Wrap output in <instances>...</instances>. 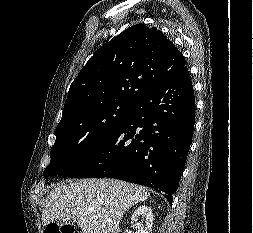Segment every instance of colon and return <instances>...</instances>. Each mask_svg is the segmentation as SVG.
<instances>
[{
  "instance_id": "colon-1",
  "label": "colon",
  "mask_w": 253,
  "mask_h": 233,
  "mask_svg": "<svg viewBox=\"0 0 253 233\" xmlns=\"http://www.w3.org/2000/svg\"><path fill=\"white\" fill-rule=\"evenodd\" d=\"M45 233H78L72 225L49 224L45 228Z\"/></svg>"
}]
</instances>
